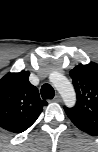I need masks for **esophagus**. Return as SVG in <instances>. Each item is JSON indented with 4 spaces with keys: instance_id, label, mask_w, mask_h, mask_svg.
<instances>
[{
    "instance_id": "34e87169",
    "label": "esophagus",
    "mask_w": 98,
    "mask_h": 152,
    "mask_svg": "<svg viewBox=\"0 0 98 152\" xmlns=\"http://www.w3.org/2000/svg\"><path fill=\"white\" fill-rule=\"evenodd\" d=\"M61 96L59 94H57L55 97H54V101L55 102H61Z\"/></svg>"
}]
</instances>
